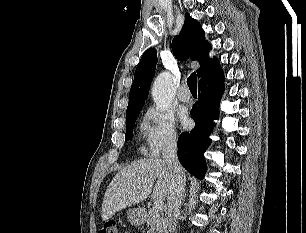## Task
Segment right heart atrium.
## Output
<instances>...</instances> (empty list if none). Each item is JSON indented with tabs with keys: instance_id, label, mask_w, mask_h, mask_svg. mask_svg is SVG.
Instances as JSON below:
<instances>
[{
	"instance_id": "right-heart-atrium-1",
	"label": "right heart atrium",
	"mask_w": 306,
	"mask_h": 233,
	"mask_svg": "<svg viewBox=\"0 0 306 233\" xmlns=\"http://www.w3.org/2000/svg\"><path fill=\"white\" fill-rule=\"evenodd\" d=\"M142 124L148 155L159 156L177 144L178 133L171 113L150 107L144 114Z\"/></svg>"
}]
</instances>
